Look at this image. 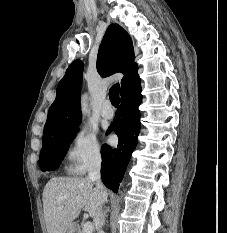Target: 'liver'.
I'll return each mask as SVG.
<instances>
[{"instance_id":"6515ba94","label":"liver","mask_w":227,"mask_h":233,"mask_svg":"<svg viewBox=\"0 0 227 233\" xmlns=\"http://www.w3.org/2000/svg\"><path fill=\"white\" fill-rule=\"evenodd\" d=\"M42 198L48 233H66L82 209L95 218L103 202V194L94 187V182L78 177L51 178Z\"/></svg>"}]
</instances>
